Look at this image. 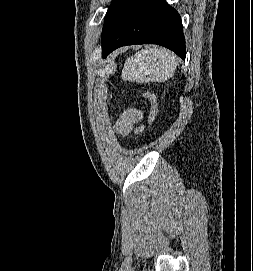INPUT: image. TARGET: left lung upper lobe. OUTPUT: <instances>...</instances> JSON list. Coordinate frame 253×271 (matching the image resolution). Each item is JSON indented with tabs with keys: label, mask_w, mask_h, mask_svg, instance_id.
<instances>
[{
	"label": "left lung upper lobe",
	"mask_w": 253,
	"mask_h": 271,
	"mask_svg": "<svg viewBox=\"0 0 253 271\" xmlns=\"http://www.w3.org/2000/svg\"><path fill=\"white\" fill-rule=\"evenodd\" d=\"M129 1L112 0L103 25L102 46L111 37Z\"/></svg>",
	"instance_id": "1"
}]
</instances>
